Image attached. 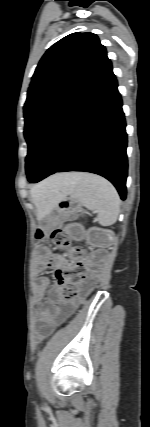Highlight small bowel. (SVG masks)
<instances>
[{
	"mask_svg": "<svg viewBox=\"0 0 150 427\" xmlns=\"http://www.w3.org/2000/svg\"><path fill=\"white\" fill-rule=\"evenodd\" d=\"M64 264L65 260L62 257L44 253L37 255L34 268L36 273L39 274L46 268H60ZM49 284L50 280L46 276H39L37 278L36 299L38 301L44 298ZM88 290L89 286L83 288L82 293L85 294ZM75 305V303L68 304L56 312L51 311L49 304L44 305L38 313V338L41 339L50 335L55 326L65 320L72 313Z\"/></svg>",
	"mask_w": 150,
	"mask_h": 427,
	"instance_id": "obj_1",
	"label": "small bowel"
}]
</instances>
